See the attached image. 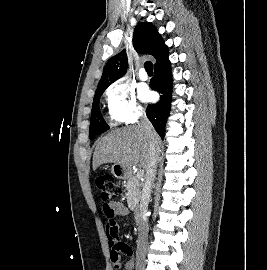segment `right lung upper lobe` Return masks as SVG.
<instances>
[{"mask_svg":"<svg viewBox=\"0 0 267 270\" xmlns=\"http://www.w3.org/2000/svg\"><path fill=\"white\" fill-rule=\"evenodd\" d=\"M133 46L142 54H150L156 61L167 51V46L151 23L139 22L134 30ZM128 65L125 50L113 56L106 64L96 93L104 91L110 84L122 77Z\"/></svg>","mask_w":267,"mask_h":270,"instance_id":"1","label":"right lung upper lobe"}]
</instances>
